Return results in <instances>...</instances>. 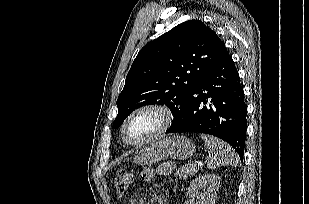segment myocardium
<instances>
[{
  "mask_svg": "<svg viewBox=\"0 0 309 204\" xmlns=\"http://www.w3.org/2000/svg\"><path fill=\"white\" fill-rule=\"evenodd\" d=\"M149 111L156 112L160 115V117H161L160 126L158 127V129L156 131H154L148 137H146L142 140H139V141H130L126 136L127 124L136 115L143 113V112H149ZM173 120H174V115H173L171 109L164 104L149 103V104L141 105V106L137 107L136 109H134L131 113H129V115L125 118V120H124V122L121 126L122 139L129 146H135V147L142 146V145L152 141L153 139L161 136L165 132H167L168 129L171 127Z\"/></svg>",
  "mask_w": 309,
  "mask_h": 204,
  "instance_id": "obj_1",
  "label": "myocardium"
}]
</instances>
